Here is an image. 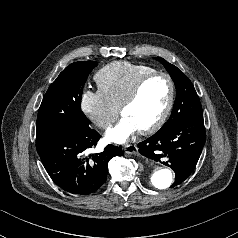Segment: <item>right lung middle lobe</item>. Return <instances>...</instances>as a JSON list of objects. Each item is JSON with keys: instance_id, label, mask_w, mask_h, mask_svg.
<instances>
[{"instance_id": "right-lung-middle-lobe-1", "label": "right lung middle lobe", "mask_w": 238, "mask_h": 238, "mask_svg": "<svg viewBox=\"0 0 238 238\" xmlns=\"http://www.w3.org/2000/svg\"><path fill=\"white\" fill-rule=\"evenodd\" d=\"M96 65L94 61L75 62L59 74L40 105L36 138L55 129L89 124L81 111V97L87 77Z\"/></svg>"}]
</instances>
